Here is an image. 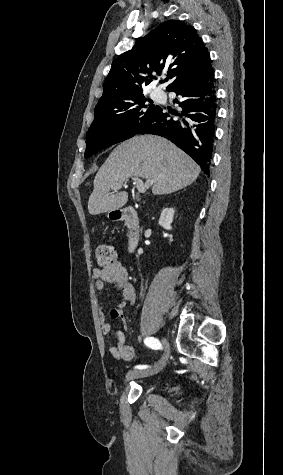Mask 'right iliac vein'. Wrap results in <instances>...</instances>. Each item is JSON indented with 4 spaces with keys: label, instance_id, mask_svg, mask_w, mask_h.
Here are the masks:
<instances>
[{
    "label": "right iliac vein",
    "instance_id": "1",
    "mask_svg": "<svg viewBox=\"0 0 283 475\" xmlns=\"http://www.w3.org/2000/svg\"><path fill=\"white\" fill-rule=\"evenodd\" d=\"M163 343L165 345L166 351L162 358L159 360V362L150 369L129 371L126 375V381L133 378L148 377L154 375L165 367L166 362L169 358V343L166 340H163Z\"/></svg>",
    "mask_w": 283,
    "mask_h": 475
}]
</instances>
